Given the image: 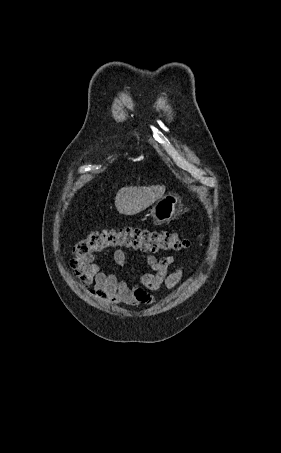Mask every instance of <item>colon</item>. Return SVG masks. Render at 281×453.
<instances>
[{
  "label": "colon",
  "mask_w": 281,
  "mask_h": 453,
  "mask_svg": "<svg viewBox=\"0 0 281 453\" xmlns=\"http://www.w3.org/2000/svg\"><path fill=\"white\" fill-rule=\"evenodd\" d=\"M125 249L150 250L151 255H162L163 252H181L186 249V244L176 232L170 230L101 226L94 227L78 243L74 256L79 262H93Z\"/></svg>",
  "instance_id": "5ec220e1"
}]
</instances>
